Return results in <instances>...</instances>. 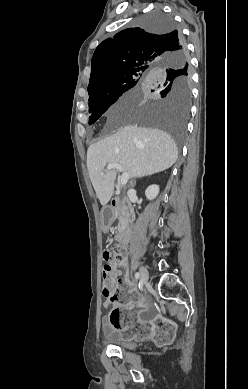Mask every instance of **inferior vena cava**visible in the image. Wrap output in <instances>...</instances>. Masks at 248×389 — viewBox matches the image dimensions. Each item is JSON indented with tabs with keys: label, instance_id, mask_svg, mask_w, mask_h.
<instances>
[{
	"label": "inferior vena cava",
	"instance_id": "602c4592",
	"mask_svg": "<svg viewBox=\"0 0 248 389\" xmlns=\"http://www.w3.org/2000/svg\"><path fill=\"white\" fill-rule=\"evenodd\" d=\"M134 192H135L134 189H130V190L128 191V195H130V194H132V193H134Z\"/></svg>",
	"mask_w": 248,
	"mask_h": 389
}]
</instances>
